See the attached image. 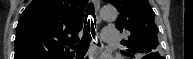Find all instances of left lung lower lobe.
Wrapping results in <instances>:
<instances>
[{"label": "left lung lower lobe", "instance_id": "0a47b994", "mask_svg": "<svg viewBox=\"0 0 193 59\" xmlns=\"http://www.w3.org/2000/svg\"><path fill=\"white\" fill-rule=\"evenodd\" d=\"M144 59H162V57L157 52H154L146 55Z\"/></svg>", "mask_w": 193, "mask_h": 59}]
</instances>
